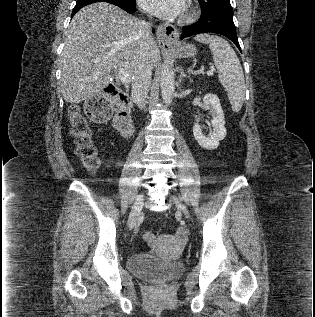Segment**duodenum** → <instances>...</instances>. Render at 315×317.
<instances>
[{"label":"duodenum","mask_w":315,"mask_h":317,"mask_svg":"<svg viewBox=\"0 0 315 317\" xmlns=\"http://www.w3.org/2000/svg\"><path fill=\"white\" fill-rule=\"evenodd\" d=\"M117 104L118 109L114 117V126L124 139H129L134 131L131 118V101L125 93L119 91Z\"/></svg>","instance_id":"duodenum-1"}]
</instances>
